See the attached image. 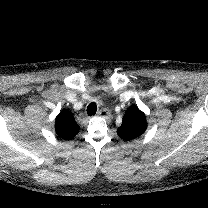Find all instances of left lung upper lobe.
<instances>
[{"instance_id":"obj_1","label":"left lung upper lobe","mask_w":208,"mask_h":208,"mask_svg":"<svg viewBox=\"0 0 208 208\" xmlns=\"http://www.w3.org/2000/svg\"><path fill=\"white\" fill-rule=\"evenodd\" d=\"M147 128L145 114L136 105L130 106L123 117L117 134L125 141L135 139L142 135Z\"/></svg>"}]
</instances>
